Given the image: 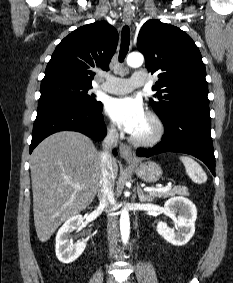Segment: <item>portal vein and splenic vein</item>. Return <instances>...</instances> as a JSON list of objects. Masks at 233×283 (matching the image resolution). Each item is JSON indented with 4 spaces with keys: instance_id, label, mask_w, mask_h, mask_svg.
<instances>
[{
    "instance_id": "18ae733b",
    "label": "portal vein and splenic vein",
    "mask_w": 233,
    "mask_h": 283,
    "mask_svg": "<svg viewBox=\"0 0 233 283\" xmlns=\"http://www.w3.org/2000/svg\"><path fill=\"white\" fill-rule=\"evenodd\" d=\"M76 188L80 189L82 187V185L77 184L75 185ZM171 185L165 186V187H160V188H154V187H146L144 188L145 192H166L169 191L171 189Z\"/></svg>"
}]
</instances>
